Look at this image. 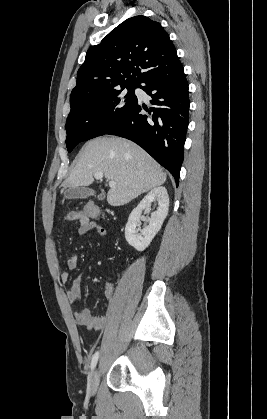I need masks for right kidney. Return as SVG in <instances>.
I'll list each match as a JSON object with an SVG mask.
<instances>
[{
    "instance_id": "right-kidney-1",
    "label": "right kidney",
    "mask_w": 267,
    "mask_h": 419,
    "mask_svg": "<svg viewBox=\"0 0 267 419\" xmlns=\"http://www.w3.org/2000/svg\"><path fill=\"white\" fill-rule=\"evenodd\" d=\"M153 201H157L158 207L151 214L149 225L140 229L139 221L142 211L151 206ZM169 197L165 187H156L152 189L131 212L125 227V238L129 245L138 251H144L155 235L159 232L162 224L168 214Z\"/></svg>"
}]
</instances>
